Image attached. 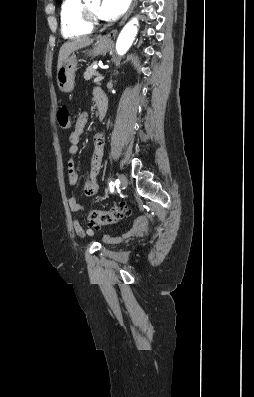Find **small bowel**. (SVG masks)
Wrapping results in <instances>:
<instances>
[{
  "instance_id": "obj_1",
  "label": "small bowel",
  "mask_w": 254,
  "mask_h": 397,
  "mask_svg": "<svg viewBox=\"0 0 254 397\" xmlns=\"http://www.w3.org/2000/svg\"><path fill=\"white\" fill-rule=\"evenodd\" d=\"M102 94H103L102 90L98 88L95 89L94 90L95 101H97L98 97ZM87 122H88V113L87 112L80 113L76 119L74 130L69 135V143H70L69 153L71 155V158L68 162V181L71 186H76L78 183V173L76 170L75 157L79 152L78 144ZM104 147H105V134L103 132L97 133L94 136V150L91 158V168L88 179L84 185V193L86 196H93L94 194H96V192L99 189L98 176L101 169ZM68 203L70 210L72 212H80L85 210V206L81 202H79L74 196L69 197ZM138 227H139V222H135L133 228L128 232H126L122 237H128L134 234L137 231ZM73 228L79 237L92 236L94 234V231L91 228H84L80 223V221L77 219L73 221ZM107 239L110 241H117L120 240L121 237L109 236L107 237Z\"/></svg>"
}]
</instances>
